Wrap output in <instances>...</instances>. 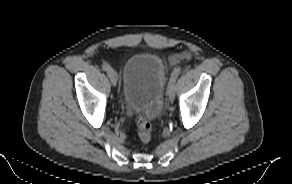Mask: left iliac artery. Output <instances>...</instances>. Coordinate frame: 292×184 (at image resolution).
<instances>
[{"instance_id":"left-iliac-artery-1","label":"left iliac artery","mask_w":292,"mask_h":184,"mask_svg":"<svg viewBox=\"0 0 292 184\" xmlns=\"http://www.w3.org/2000/svg\"><path fill=\"white\" fill-rule=\"evenodd\" d=\"M180 73H181V68L174 69V71L171 74L170 80H169V85L174 84L176 82Z\"/></svg>"}]
</instances>
